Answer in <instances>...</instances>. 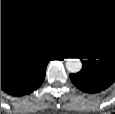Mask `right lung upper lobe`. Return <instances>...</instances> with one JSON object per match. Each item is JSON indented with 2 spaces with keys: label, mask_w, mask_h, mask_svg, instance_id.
<instances>
[{
  "label": "right lung upper lobe",
  "mask_w": 115,
  "mask_h": 114,
  "mask_svg": "<svg viewBox=\"0 0 115 114\" xmlns=\"http://www.w3.org/2000/svg\"><path fill=\"white\" fill-rule=\"evenodd\" d=\"M40 59L42 58L26 52L19 40L7 36L1 37V69L19 68Z\"/></svg>",
  "instance_id": "cb5924a9"
}]
</instances>
